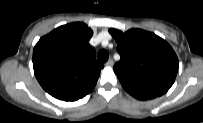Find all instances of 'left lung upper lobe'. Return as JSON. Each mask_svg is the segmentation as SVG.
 <instances>
[{"mask_svg": "<svg viewBox=\"0 0 203 123\" xmlns=\"http://www.w3.org/2000/svg\"><path fill=\"white\" fill-rule=\"evenodd\" d=\"M109 32L118 44L121 59L113 69L123 88L153 97L166 93L179 67L172 47L154 33L141 29Z\"/></svg>", "mask_w": 203, "mask_h": 123, "instance_id": "obj_1", "label": "left lung upper lobe"}]
</instances>
